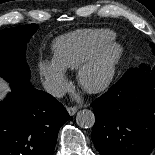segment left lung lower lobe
<instances>
[{"instance_id":"left-lung-lower-lobe-1","label":"left lung lower lobe","mask_w":155,"mask_h":155,"mask_svg":"<svg viewBox=\"0 0 155 155\" xmlns=\"http://www.w3.org/2000/svg\"><path fill=\"white\" fill-rule=\"evenodd\" d=\"M91 106V138L101 155H148L155 147V66L128 69Z\"/></svg>"}]
</instances>
